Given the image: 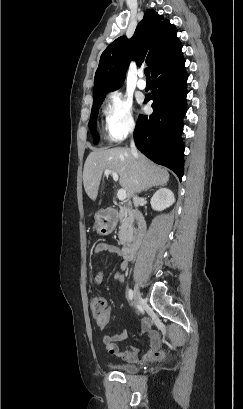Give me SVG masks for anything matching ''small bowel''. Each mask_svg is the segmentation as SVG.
Listing matches in <instances>:
<instances>
[{"instance_id":"1","label":"small bowel","mask_w":243,"mask_h":409,"mask_svg":"<svg viewBox=\"0 0 243 409\" xmlns=\"http://www.w3.org/2000/svg\"><path fill=\"white\" fill-rule=\"evenodd\" d=\"M102 254H114L121 256L120 249L111 244L101 243L97 244L93 248V256L99 257ZM128 267V263L123 261L120 264V268L125 270ZM104 273L102 269H98L94 275V283L100 284L103 281ZM115 281L123 283L125 281V276L121 272H116L113 275ZM103 299L104 307L101 310L94 312V319L96 325L104 330L108 325V316H107V301ZM140 331L142 333H147L150 338V347L147 352L143 355H140V352L137 348L126 347L125 349H120L116 345V341L124 339L127 335L126 331H120L114 335H104L102 340L105 345L106 350L119 358H122L126 362H138V361H163L167 358L168 350L166 348H161V338L157 331L152 328V321L147 318L145 319L140 326Z\"/></svg>"}]
</instances>
